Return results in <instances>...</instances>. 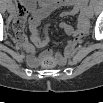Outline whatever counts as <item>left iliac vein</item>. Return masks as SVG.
Segmentation results:
<instances>
[{
  "label": "left iliac vein",
  "instance_id": "left-iliac-vein-1",
  "mask_svg": "<svg viewBox=\"0 0 103 103\" xmlns=\"http://www.w3.org/2000/svg\"><path fill=\"white\" fill-rule=\"evenodd\" d=\"M88 16H89V17H92V16H93V11H92V9H89V10H88Z\"/></svg>",
  "mask_w": 103,
  "mask_h": 103
}]
</instances>
